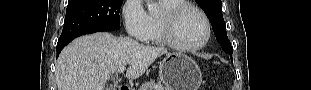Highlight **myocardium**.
<instances>
[{"mask_svg": "<svg viewBox=\"0 0 311 90\" xmlns=\"http://www.w3.org/2000/svg\"><path fill=\"white\" fill-rule=\"evenodd\" d=\"M187 10H192L199 14L200 17L203 19L206 28V34L204 39L200 43L193 46H184L180 44L177 41L174 33L178 19ZM159 25L163 43L179 52L188 53L198 51L204 48L211 38L212 29L209 18L201 9L190 3H182L178 6L163 11L160 14Z\"/></svg>", "mask_w": 311, "mask_h": 90, "instance_id": "f54148a6", "label": "myocardium"}]
</instances>
